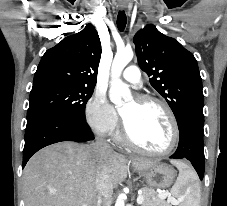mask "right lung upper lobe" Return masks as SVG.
<instances>
[{
	"label": "right lung upper lobe",
	"instance_id": "cb5924a9",
	"mask_svg": "<svg viewBox=\"0 0 227 206\" xmlns=\"http://www.w3.org/2000/svg\"><path fill=\"white\" fill-rule=\"evenodd\" d=\"M101 52L98 33L88 24L79 33L64 38L45 52L33 82L58 81L95 87Z\"/></svg>",
	"mask_w": 227,
	"mask_h": 206
}]
</instances>
